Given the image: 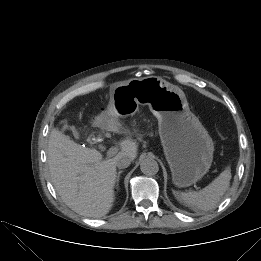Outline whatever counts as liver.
Here are the masks:
<instances>
[{"mask_svg": "<svg viewBox=\"0 0 261 261\" xmlns=\"http://www.w3.org/2000/svg\"><path fill=\"white\" fill-rule=\"evenodd\" d=\"M112 93L113 90L107 111L95 117L93 126L129 135L130 130L125 129L118 120ZM120 148L115 157L103 159L96 149L83 147L57 128L52 129L48 142L49 172L52 184L69 208L80 215L94 218L103 217L111 210L115 199L116 157L126 154L134 160L138 151L131 137L122 141Z\"/></svg>", "mask_w": 261, "mask_h": 261, "instance_id": "1", "label": "liver"}]
</instances>
